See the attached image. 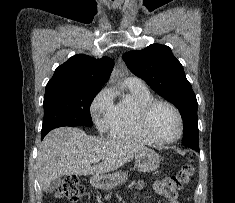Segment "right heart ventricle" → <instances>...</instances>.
<instances>
[{"instance_id":"right-heart-ventricle-1","label":"right heart ventricle","mask_w":235,"mask_h":203,"mask_svg":"<svg viewBox=\"0 0 235 203\" xmlns=\"http://www.w3.org/2000/svg\"><path fill=\"white\" fill-rule=\"evenodd\" d=\"M126 96L113 104V110L108 122L107 131L111 137L153 144L141 130L138 122V112L141 105L154 99L153 94L144 85L123 83Z\"/></svg>"}]
</instances>
